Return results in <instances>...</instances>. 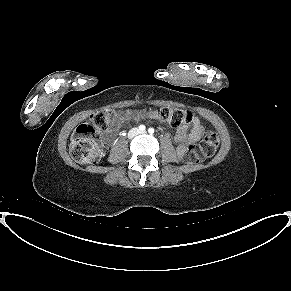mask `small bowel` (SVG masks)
I'll use <instances>...</instances> for the list:
<instances>
[{
	"label": "small bowel",
	"instance_id": "obj_1",
	"mask_svg": "<svg viewBox=\"0 0 291 291\" xmlns=\"http://www.w3.org/2000/svg\"><path fill=\"white\" fill-rule=\"evenodd\" d=\"M117 123L114 129H107L104 138L106 142H112L115 138V130L122 128L124 125L129 123L131 120L139 119V115L127 110L119 112L117 114ZM204 133V127L202 126L198 117H193L191 125H182L175 136L178 143V151L181 153L185 150L186 146L190 143L198 141Z\"/></svg>",
	"mask_w": 291,
	"mask_h": 291
}]
</instances>
